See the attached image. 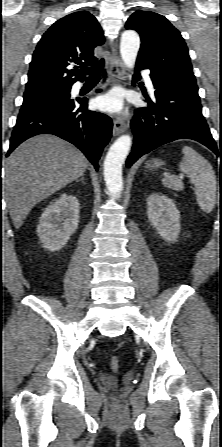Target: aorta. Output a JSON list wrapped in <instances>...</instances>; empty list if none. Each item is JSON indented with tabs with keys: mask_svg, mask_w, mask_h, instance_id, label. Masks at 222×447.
<instances>
[{
	"mask_svg": "<svg viewBox=\"0 0 222 447\" xmlns=\"http://www.w3.org/2000/svg\"><path fill=\"white\" fill-rule=\"evenodd\" d=\"M140 48L139 35L132 30L121 36L120 54L126 67L133 68ZM132 138L120 136L110 147L104 160V180L110 194L119 198L123 190L122 165L129 153Z\"/></svg>",
	"mask_w": 222,
	"mask_h": 447,
	"instance_id": "1",
	"label": "aorta"
}]
</instances>
